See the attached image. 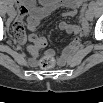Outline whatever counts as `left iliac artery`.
I'll return each mask as SVG.
<instances>
[{"label":"left iliac artery","mask_w":103,"mask_h":103,"mask_svg":"<svg viewBox=\"0 0 103 103\" xmlns=\"http://www.w3.org/2000/svg\"><path fill=\"white\" fill-rule=\"evenodd\" d=\"M94 7H95V3L93 1L90 2L89 6H88L89 11H92L94 9Z\"/></svg>","instance_id":"44dca946"}]
</instances>
